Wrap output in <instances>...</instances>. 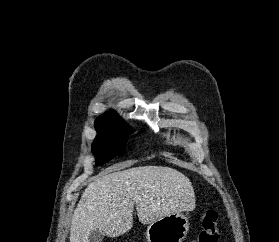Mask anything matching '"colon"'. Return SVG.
<instances>
[{
  "label": "colon",
  "mask_w": 279,
  "mask_h": 242,
  "mask_svg": "<svg viewBox=\"0 0 279 242\" xmlns=\"http://www.w3.org/2000/svg\"><path fill=\"white\" fill-rule=\"evenodd\" d=\"M218 212L207 209L202 215V228L191 242H218Z\"/></svg>",
  "instance_id": "colon-1"
}]
</instances>
